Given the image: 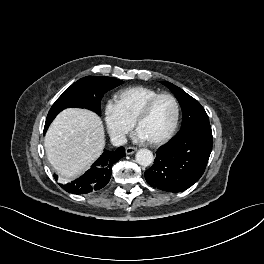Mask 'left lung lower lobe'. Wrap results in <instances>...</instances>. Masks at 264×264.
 <instances>
[{
  "label": "left lung lower lobe",
  "instance_id": "obj_1",
  "mask_svg": "<svg viewBox=\"0 0 264 264\" xmlns=\"http://www.w3.org/2000/svg\"><path fill=\"white\" fill-rule=\"evenodd\" d=\"M211 151L210 125L177 134L158 149L154 164L145 172V179L160 190L184 191L200 179Z\"/></svg>",
  "mask_w": 264,
  "mask_h": 264
}]
</instances>
